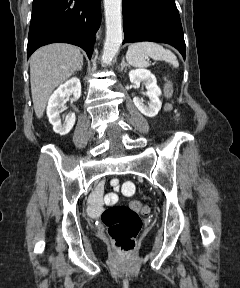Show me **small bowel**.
Returning <instances> with one entry per match:
<instances>
[{
    "mask_svg": "<svg viewBox=\"0 0 240 288\" xmlns=\"http://www.w3.org/2000/svg\"><path fill=\"white\" fill-rule=\"evenodd\" d=\"M112 185L114 188V191H119V184L117 180L112 181ZM126 185H131V183H127ZM103 205V185L100 184L95 192L90 197V203L88 207V212L91 216H96L102 209Z\"/></svg>",
    "mask_w": 240,
    "mask_h": 288,
    "instance_id": "small-bowel-1",
    "label": "small bowel"
}]
</instances>
